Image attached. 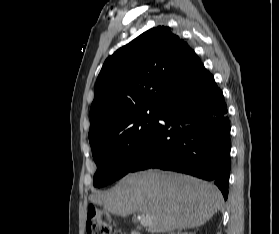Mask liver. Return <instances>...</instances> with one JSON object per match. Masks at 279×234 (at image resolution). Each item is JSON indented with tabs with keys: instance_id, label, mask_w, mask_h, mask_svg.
Listing matches in <instances>:
<instances>
[{
	"instance_id": "1",
	"label": "liver",
	"mask_w": 279,
	"mask_h": 234,
	"mask_svg": "<svg viewBox=\"0 0 279 234\" xmlns=\"http://www.w3.org/2000/svg\"><path fill=\"white\" fill-rule=\"evenodd\" d=\"M90 199L119 216L135 212L149 216L151 233L199 227L223 206L215 185L159 170L129 174L110 191L96 193Z\"/></svg>"
}]
</instances>
